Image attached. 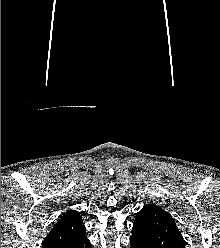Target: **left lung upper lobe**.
<instances>
[{
	"instance_id": "5c2ea615",
	"label": "left lung upper lobe",
	"mask_w": 220,
	"mask_h": 248,
	"mask_svg": "<svg viewBox=\"0 0 220 248\" xmlns=\"http://www.w3.org/2000/svg\"><path fill=\"white\" fill-rule=\"evenodd\" d=\"M133 228L139 230L158 248H185L174 219L157 205H145L136 214Z\"/></svg>"
}]
</instances>
